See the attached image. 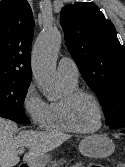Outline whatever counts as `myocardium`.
I'll use <instances>...</instances> for the list:
<instances>
[{"instance_id": "obj_1", "label": "myocardium", "mask_w": 125, "mask_h": 167, "mask_svg": "<svg viewBox=\"0 0 125 167\" xmlns=\"http://www.w3.org/2000/svg\"><path fill=\"white\" fill-rule=\"evenodd\" d=\"M82 97L90 98L95 103V105L98 109L99 124L94 129H82L76 123V120L74 117V108H75L77 101ZM63 110H64L65 118H66L68 124L77 133L94 134V133L98 132L101 129V127L103 126V121H104L103 107L101 105L100 100L93 93H91L89 91L77 89V90L65 95V97L63 99Z\"/></svg>"}]
</instances>
